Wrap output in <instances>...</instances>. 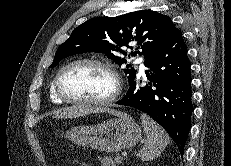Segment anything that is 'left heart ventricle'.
<instances>
[{
    "instance_id": "left-heart-ventricle-1",
    "label": "left heart ventricle",
    "mask_w": 231,
    "mask_h": 166,
    "mask_svg": "<svg viewBox=\"0 0 231 166\" xmlns=\"http://www.w3.org/2000/svg\"><path fill=\"white\" fill-rule=\"evenodd\" d=\"M64 94L74 99H99L108 96L113 89L111 75L102 67L79 64L68 68L60 78Z\"/></svg>"
}]
</instances>
